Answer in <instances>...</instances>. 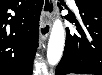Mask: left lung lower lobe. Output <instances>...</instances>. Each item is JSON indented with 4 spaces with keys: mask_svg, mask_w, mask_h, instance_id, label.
I'll return each instance as SVG.
<instances>
[{
    "mask_svg": "<svg viewBox=\"0 0 102 75\" xmlns=\"http://www.w3.org/2000/svg\"><path fill=\"white\" fill-rule=\"evenodd\" d=\"M76 5L83 24L80 25L75 17L71 18L77 32L66 29L65 49L55 75H102V7L87 3Z\"/></svg>",
    "mask_w": 102,
    "mask_h": 75,
    "instance_id": "left-lung-lower-lobe-1",
    "label": "left lung lower lobe"
}]
</instances>
